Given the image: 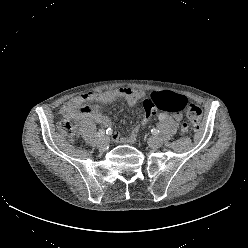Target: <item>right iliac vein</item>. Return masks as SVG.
<instances>
[{
  "label": "right iliac vein",
  "instance_id": "right-iliac-vein-1",
  "mask_svg": "<svg viewBox=\"0 0 248 248\" xmlns=\"http://www.w3.org/2000/svg\"><path fill=\"white\" fill-rule=\"evenodd\" d=\"M108 144H109V138L107 136L101 137L97 142L98 147L102 149L106 148Z\"/></svg>",
  "mask_w": 248,
  "mask_h": 248
}]
</instances>
